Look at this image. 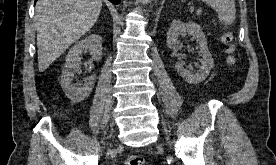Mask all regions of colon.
I'll list each match as a JSON object with an SVG mask.
<instances>
[{
    "label": "colon",
    "instance_id": "colon-1",
    "mask_svg": "<svg viewBox=\"0 0 276 165\" xmlns=\"http://www.w3.org/2000/svg\"><path fill=\"white\" fill-rule=\"evenodd\" d=\"M222 39L226 45V51L229 54V60H230V62H233L234 61V57H233L234 47L232 44V42H233L232 34L227 32L223 35ZM124 164L125 165H148L142 157L135 156V155L127 157L125 159Z\"/></svg>",
    "mask_w": 276,
    "mask_h": 165
}]
</instances>
